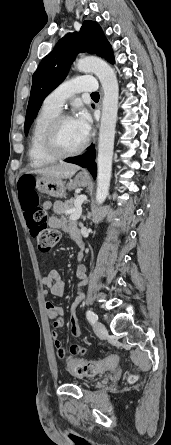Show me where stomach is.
<instances>
[{
	"label": "stomach",
	"mask_w": 171,
	"mask_h": 445,
	"mask_svg": "<svg viewBox=\"0 0 171 445\" xmlns=\"http://www.w3.org/2000/svg\"><path fill=\"white\" fill-rule=\"evenodd\" d=\"M88 185L87 178H81L77 175L67 184L61 178H51L40 176L35 178V187L38 191L48 194L54 198H63L66 196V190H73L77 187H86Z\"/></svg>",
	"instance_id": "1"
}]
</instances>
